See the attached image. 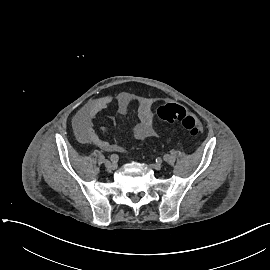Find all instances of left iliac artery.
<instances>
[{
    "label": "left iliac artery",
    "mask_w": 270,
    "mask_h": 270,
    "mask_svg": "<svg viewBox=\"0 0 270 270\" xmlns=\"http://www.w3.org/2000/svg\"><path fill=\"white\" fill-rule=\"evenodd\" d=\"M163 158H164V160H165L166 162H169V163L174 162V158H173L172 156L168 155V154L164 155Z\"/></svg>",
    "instance_id": "44dca946"
}]
</instances>
